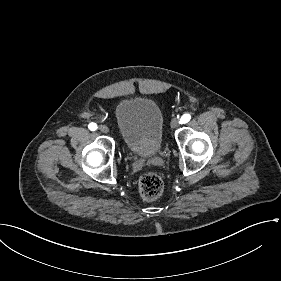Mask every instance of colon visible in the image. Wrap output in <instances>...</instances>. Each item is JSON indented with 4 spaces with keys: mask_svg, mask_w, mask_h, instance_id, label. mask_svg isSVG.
Segmentation results:
<instances>
[{
    "mask_svg": "<svg viewBox=\"0 0 281 281\" xmlns=\"http://www.w3.org/2000/svg\"><path fill=\"white\" fill-rule=\"evenodd\" d=\"M138 186L143 197L152 200L162 193L164 183L158 173L148 172L139 179Z\"/></svg>",
    "mask_w": 281,
    "mask_h": 281,
    "instance_id": "1",
    "label": "colon"
}]
</instances>
